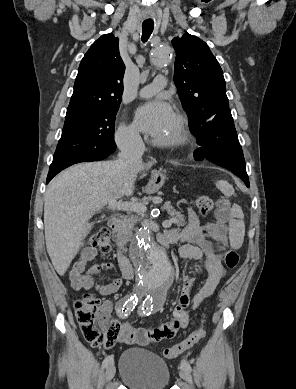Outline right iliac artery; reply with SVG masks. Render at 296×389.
<instances>
[{"instance_id":"82829eb1","label":"right iliac artery","mask_w":296,"mask_h":389,"mask_svg":"<svg viewBox=\"0 0 296 389\" xmlns=\"http://www.w3.org/2000/svg\"><path fill=\"white\" fill-rule=\"evenodd\" d=\"M138 299H139V295H137V293L133 294L128 298L127 297L123 298L118 307L119 316L125 317L127 314L133 311V309L138 303ZM111 363H113V356L112 355L106 356L102 363V367L105 368Z\"/></svg>"}]
</instances>
